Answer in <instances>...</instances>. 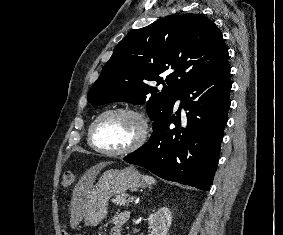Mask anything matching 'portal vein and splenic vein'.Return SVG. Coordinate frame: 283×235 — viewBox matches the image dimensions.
Here are the masks:
<instances>
[{
  "label": "portal vein and splenic vein",
  "mask_w": 283,
  "mask_h": 235,
  "mask_svg": "<svg viewBox=\"0 0 283 235\" xmlns=\"http://www.w3.org/2000/svg\"><path fill=\"white\" fill-rule=\"evenodd\" d=\"M133 200H134L133 197H131V198H130V201H133Z\"/></svg>",
  "instance_id": "1"
}]
</instances>
